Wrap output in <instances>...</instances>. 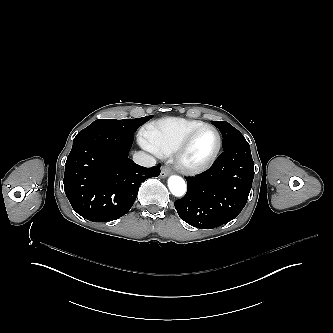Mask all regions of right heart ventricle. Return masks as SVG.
<instances>
[{
    "label": "right heart ventricle",
    "mask_w": 333,
    "mask_h": 333,
    "mask_svg": "<svg viewBox=\"0 0 333 333\" xmlns=\"http://www.w3.org/2000/svg\"><path fill=\"white\" fill-rule=\"evenodd\" d=\"M205 124L197 119L168 118L145 125L139 135L140 145L162 157L174 153L181 139L192 129Z\"/></svg>",
    "instance_id": "e07e8e85"
}]
</instances>
